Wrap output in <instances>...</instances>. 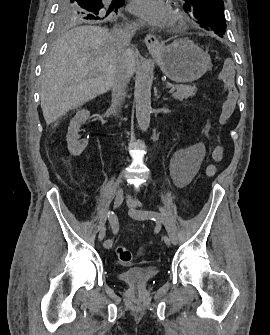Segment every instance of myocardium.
<instances>
[{"label":"myocardium","mask_w":270,"mask_h":335,"mask_svg":"<svg viewBox=\"0 0 270 335\" xmlns=\"http://www.w3.org/2000/svg\"><path fill=\"white\" fill-rule=\"evenodd\" d=\"M178 20H179L180 23L182 22V21H181V17H179V16H178Z\"/></svg>","instance_id":"f54148a6"}]
</instances>
